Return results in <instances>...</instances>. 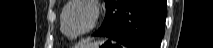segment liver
Listing matches in <instances>:
<instances>
[{"instance_id":"obj_1","label":"liver","mask_w":213,"mask_h":48,"mask_svg":"<svg viewBox=\"0 0 213 48\" xmlns=\"http://www.w3.org/2000/svg\"><path fill=\"white\" fill-rule=\"evenodd\" d=\"M93 43H88V42H86V41H84L82 44H81V46H83V47H88V46H91Z\"/></svg>"}]
</instances>
